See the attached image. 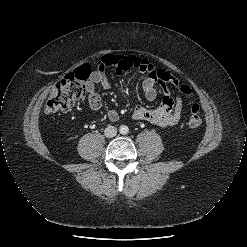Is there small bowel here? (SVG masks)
Returning a JSON list of instances; mask_svg holds the SVG:
<instances>
[{
    "instance_id": "obj_1",
    "label": "small bowel",
    "mask_w": 247,
    "mask_h": 247,
    "mask_svg": "<svg viewBox=\"0 0 247 247\" xmlns=\"http://www.w3.org/2000/svg\"><path fill=\"white\" fill-rule=\"evenodd\" d=\"M108 67H114L118 75L123 74L131 68H137L146 74V78L142 83V90L147 100L154 101L158 96L157 86L163 90L161 104L157 108H147L137 106L132 113L135 120L147 121L161 127H173L181 119L183 111V99L177 95L176 99L170 96L167 84L180 88L179 81L165 69L156 68L145 57L135 55H116L106 54L98 63V67L94 70L88 80L85 82V89L88 92V104L92 110H99L102 106L101 97L96 91V86L102 89H108L110 83L105 74ZM107 117L111 121L119 118V113L115 109L107 112Z\"/></svg>"
}]
</instances>
